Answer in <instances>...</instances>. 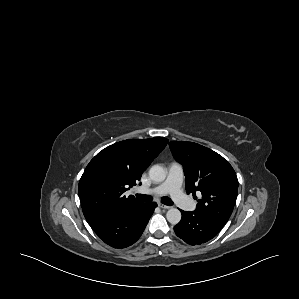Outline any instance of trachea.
I'll return each instance as SVG.
<instances>
[{"instance_id": "trachea-1", "label": "trachea", "mask_w": 299, "mask_h": 299, "mask_svg": "<svg viewBox=\"0 0 299 299\" xmlns=\"http://www.w3.org/2000/svg\"><path fill=\"white\" fill-rule=\"evenodd\" d=\"M136 197H137V199H139L142 202H151L152 201V197L148 196V195L136 194ZM161 202L168 206L173 205V201L168 197H163L161 199Z\"/></svg>"}]
</instances>
